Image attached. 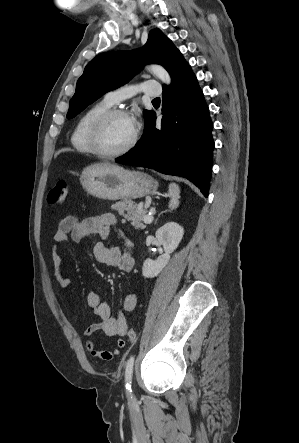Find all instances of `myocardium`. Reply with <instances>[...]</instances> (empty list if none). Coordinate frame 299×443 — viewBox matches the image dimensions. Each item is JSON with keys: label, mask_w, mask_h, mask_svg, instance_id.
Wrapping results in <instances>:
<instances>
[{"label": "myocardium", "mask_w": 299, "mask_h": 443, "mask_svg": "<svg viewBox=\"0 0 299 443\" xmlns=\"http://www.w3.org/2000/svg\"><path fill=\"white\" fill-rule=\"evenodd\" d=\"M118 116L130 118L129 114L125 110L119 109V108H111V109H108V110L102 112L100 115H98L95 118V120L93 121V123L91 124V127L89 129V133H88L89 146L92 150V153L97 155L100 158L114 159V158L121 157V156L127 154L128 152H130L136 146V144L139 140V131L135 127L133 137L125 147H123L122 149L115 151V152H107L102 149V147L100 145V137H101L102 132L105 128V125L111 119H113L114 117H118Z\"/></svg>", "instance_id": "obj_1"}]
</instances>
